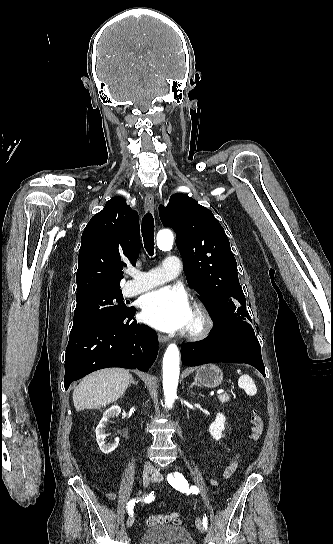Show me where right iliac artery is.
Returning <instances> with one entry per match:
<instances>
[{
  "instance_id": "right-iliac-artery-1",
  "label": "right iliac artery",
  "mask_w": 333,
  "mask_h": 544,
  "mask_svg": "<svg viewBox=\"0 0 333 544\" xmlns=\"http://www.w3.org/2000/svg\"><path fill=\"white\" fill-rule=\"evenodd\" d=\"M154 499L153 495L152 494H149L145 497H143V501L144 502H151L152 500ZM140 499H132L128 502L127 504V511H128V514L129 515H133V509H134V506H135V503L139 502Z\"/></svg>"
}]
</instances>
